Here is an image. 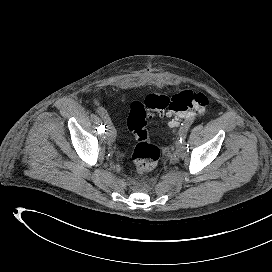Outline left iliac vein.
<instances>
[{"instance_id": "1", "label": "left iliac vein", "mask_w": 272, "mask_h": 272, "mask_svg": "<svg viewBox=\"0 0 272 272\" xmlns=\"http://www.w3.org/2000/svg\"><path fill=\"white\" fill-rule=\"evenodd\" d=\"M184 149H185V145L184 144H180L179 142L176 144V152L177 153L183 152Z\"/></svg>"}]
</instances>
